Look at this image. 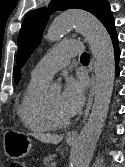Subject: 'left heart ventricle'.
I'll return each mask as SVG.
<instances>
[{
	"mask_svg": "<svg viewBox=\"0 0 125 167\" xmlns=\"http://www.w3.org/2000/svg\"><path fill=\"white\" fill-rule=\"evenodd\" d=\"M47 101L54 112V114L60 118H66L68 117L64 111L61 108L60 104V93L59 92H54L46 96Z\"/></svg>",
	"mask_w": 125,
	"mask_h": 167,
	"instance_id": "b2bd125f",
	"label": "left heart ventricle"
}]
</instances>
